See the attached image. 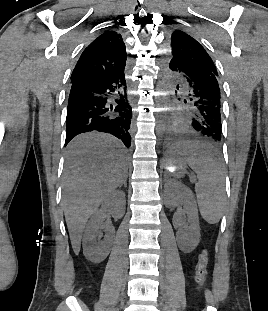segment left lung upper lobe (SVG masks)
<instances>
[{"label": "left lung upper lobe", "instance_id": "5c2ea615", "mask_svg": "<svg viewBox=\"0 0 268 311\" xmlns=\"http://www.w3.org/2000/svg\"><path fill=\"white\" fill-rule=\"evenodd\" d=\"M170 48L171 52L167 57L169 63L173 61L180 63H198L211 69L218 77V72L212 58L204 47L187 33L182 30H175L171 34Z\"/></svg>", "mask_w": 268, "mask_h": 311}]
</instances>
